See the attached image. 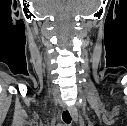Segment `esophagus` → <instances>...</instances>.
Returning a JSON list of instances; mask_svg holds the SVG:
<instances>
[{
  "label": "esophagus",
  "instance_id": "1",
  "mask_svg": "<svg viewBox=\"0 0 127 126\" xmlns=\"http://www.w3.org/2000/svg\"><path fill=\"white\" fill-rule=\"evenodd\" d=\"M69 112H70V115L72 117V119L77 122L78 121V113H77V110L74 108V107H70L68 108Z\"/></svg>",
  "mask_w": 127,
  "mask_h": 126
}]
</instances>
